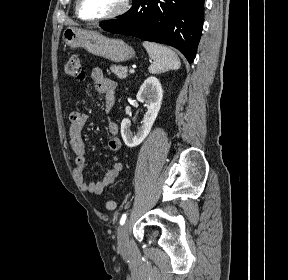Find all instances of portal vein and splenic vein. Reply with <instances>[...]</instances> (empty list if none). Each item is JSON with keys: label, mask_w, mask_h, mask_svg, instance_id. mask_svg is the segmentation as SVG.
<instances>
[{"label": "portal vein and splenic vein", "mask_w": 288, "mask_h": 280, "mask_svg": "<svg viewBox=\"0 0 288 280\" xmlns=\"http://www.w3.org/2000/svg\"><path fill=\"white\" fill-rule=\"evenodd\" d=\"M129 72H130V73H134L135 70H134V69H130Z\"/></svg>", "instance_id": "1"}]
</instances>
